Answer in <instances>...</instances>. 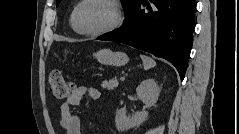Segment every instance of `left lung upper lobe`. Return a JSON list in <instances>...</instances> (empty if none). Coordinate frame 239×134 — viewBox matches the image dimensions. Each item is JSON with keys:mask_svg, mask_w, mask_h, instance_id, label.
<instances>
[{"mask_svg": "<svg viewBox=\"0 0 239 134\" xmlns=\"http://www.w3.org/2000/svg\"><path fill=\"white\" fill-rule=\"evenodd\" d=\"M60 2L61 0H56V6H58ZM134 2L135 0H122V5L126 9V13H128Z\"/></svg>", "mask_w": 239, "mask_h": 134, "instance_id": "left-lung-upper-lobe-1", "label": "left lung upper lobe"}]
</instances>
